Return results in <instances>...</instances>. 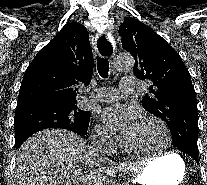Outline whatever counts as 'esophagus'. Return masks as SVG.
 I'll use <instances>...</instances> for the list:
<instances>
[{
    "label": "esophagus",
    "instance_id": "34e87169",
    "mask_svg": "<svg viewBox=\"0 0 207 185\" xmlns=\"http://www.w3.org/2000/svg\"><path fill=\"white\" fill-rule=\"evenodd\" d=\"M99 43V44H98ZM94 50L98 53L99 48H114V43H109V33H98L94 40ZM102 55H112V50H102ZM108 60V57H105Z\"/></svg>",
    "mask_w": 207,
    "mask_h": 185
}]
</instances>
